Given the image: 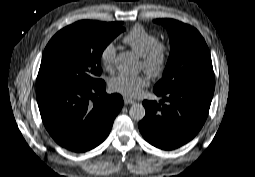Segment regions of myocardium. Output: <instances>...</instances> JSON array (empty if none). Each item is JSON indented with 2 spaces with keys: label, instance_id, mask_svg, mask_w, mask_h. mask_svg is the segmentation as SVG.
<instances>
[{
  "label": "myocardium",
  "instance_id": "1",
  "mask_svg": "<svg viewBox=\"0 0 255 177\" xmlns=\"http://www.w3.org/2000/svg\"><path fill=\"white\" fill-rule=\"evenodd\" d=\"M170 45L166 41L158 40L155 42L142 56L143 70L150 77H158L165 71L169 57H170Z\"/></svg>",
  "mask_w": 255,
  "mask_h": 177
}]
</instances>
